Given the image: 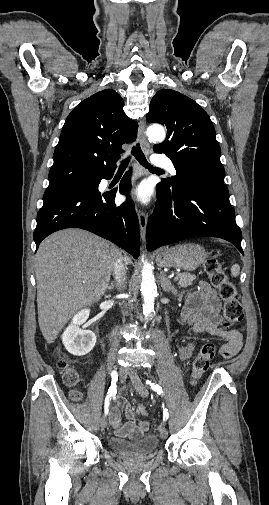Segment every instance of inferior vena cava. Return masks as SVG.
<instances>
[{"label": "inferior vena cava", "mask_w": 269, "mask_h": 505, "mask_svg": "<svg viewBox=\"0 0 269 505\" xmlns=\"http://www.w3.org/2000/svg\"><path fill=\"white\" fill-rule=\"evenodd\" d=\"M113 272L115 275L117 285L119 287L122 286L125 279H126V275H127V262H126L125 258L122 257V255H120L116 259V261L114 263V267H113Z\"/></svg>", "instance_id": "1"}]
</instances>
